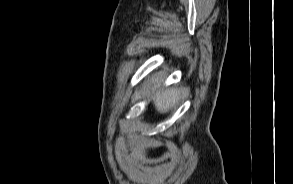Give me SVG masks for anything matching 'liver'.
I'll list each match as a JSON object with an SVG mask.
<instances>
[{"label":"liver","instance_id":"obj_1","mask_svg":"<svg viewBox=\"0 0 293 184\" xmlns=\"http://www.w3.org/2000/svg\"><path fill=\"white\" fill-rule=\"evenodd\" d=\"M163 79L158 75L151 83H145L146 95L154 94L161 86ZM179 90L176 88H167L156 93L153 98L154 105L158 112L166 113L169 109L174 107L179 100Z\"/></svg>","mask_w":293,"mask_h":184}]
</instances>
